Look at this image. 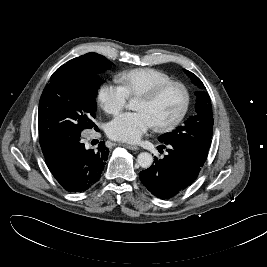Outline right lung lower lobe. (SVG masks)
<instances>
[{
	"label": "right lung lower lobe",
	"instance_id": "1",
	"mask_svg": "<svg viewBox=\"0 0 267 267\" xmlns=\"http://www.w3.org/2000/svg\"><path fill=\"white\" fill-rule=\"evenodd\" d=\"M108 154L109 150L104 142H100L95 150L87 149L80 136L72 137L65 140L50 158L46 159V163L65 190L83 192L99 180Z\"/></svg>",
	"mask_w": 267,
	"mask_h": 267
}]
</instances>
